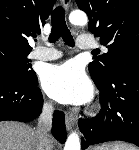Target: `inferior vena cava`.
<instances>
[{"instance_id": "602c4592", "label": "inferior vena cava", "mask_w": 139, "mask_h": 150, "mask_svg": "<svg viewBox=\"0 0 139 150\" xmlns=\"http://www.w3.org/2000/svg\"><path fill=\"white\" fill-rule=\"evenodd\" d=\"M53 106L46 103L43 106L42 113L38 119L36 134L38 137L39 150H51V141L49 131L52 127Z\"/></svg>"}]
</instances>
